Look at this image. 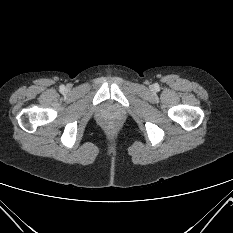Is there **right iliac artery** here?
Masks as SVG:
<instances>
[{"label": "right iliac artery", "instance_id": "right-iliac-artery-1", "mask_svg": "<svg viewBox=\"0 0 233 233\" xmlns=\"http://www.w3.org/2000/svg\"><path fill=\"white\" fill-rule=\"evenodd\" d=\"M65 89V86L64 85H61L60 86V90L63 91Z\"/></svg>", "mask_w": 233, "mask_h": 233}]
</instances>
